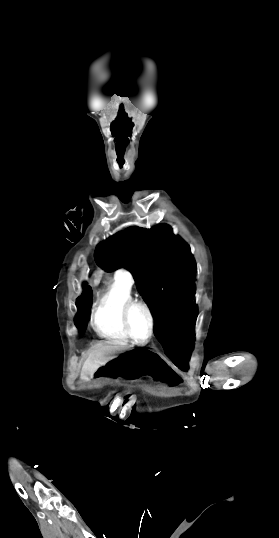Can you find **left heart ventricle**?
<instances>
[{
  "label": "left heart ventricle",
  "instance_id": "left-heart-ventricle-1",
  "mask_svg": "<svg viewBox=\"0 0 279 538\" xmlns=\"http://www.w3.org/2000/svg\"><path fill=\"white\" fill-rule=\"evenodd\" d=\"M117 207H103V210L111 211ZM107 226V219H104ZM130 327L132 334L139 341H145L149 335V321L145 311L141 308H134L130 313Z\"/></svg>",
  "mask_w": 279,
  "mask_h": 538
}]
</instances>
